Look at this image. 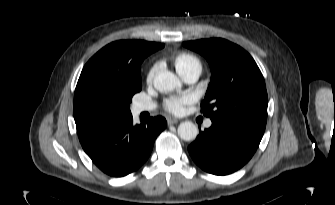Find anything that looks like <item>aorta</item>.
Masks as SVG:
<instances>
[{
	"label": "aorta",
	"instance_id": "762f6f07",
	"mask_svg": "<svg viewBox=\"0 0 335 205\" xmlns=\"http://www.w3.org/2000/svg\"><path fill=\"white\" fill-rule=\"evenodd\" d=\"M180 85L178 77L170 71H161L154 78V87L160 92L172 91ZM178 135L185 141H192L198 135V128L192 122H182L178 126Z\"/></svg>",
	"mask_w": 335,
	"mask_h": 205
}]
</instances>
